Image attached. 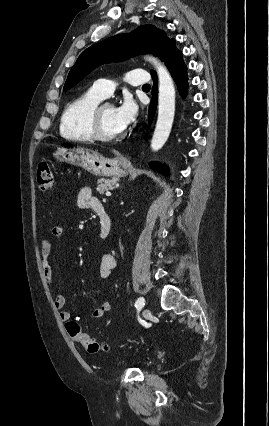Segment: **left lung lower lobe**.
<instances>
[{
	"mask_svg": "<svg viewBox=\"0 0 269 426\" xmlns=\"http://www.w3.org/2000/svg\"><path fill=\"white\" fill-rule=\"evenodd\" d=\"M182 52L179 51L175 46V40H173L169 46L162 52L160 55V59L166 64L168 67L173 79L175 80L178 90L182 96L186 94V89L188 86L187 83V67L183 62ZM151 75L154 81L152 87V99L149 107V120L150 122L153 119V116L156 111L157 106V96H158V83H157V75L154 71H151ZM150 167L154 170H157L163 174H167L166 167L157 163H151Z\"/></svg>",
	"mask_w": 269,
	"mask_h": 426,
	"instance_id": "left-lung-lower-lobe-1",
	"label": "left lung lower lobe"
}]
</instances>
